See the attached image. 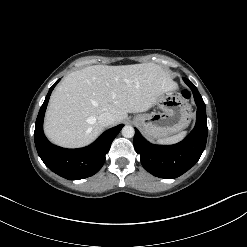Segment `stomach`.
I'll return each instance as SVG.
<instances>
[{"label": "stomach", "instance_id": "1", "mask_svg": "<svg viewBox=\"0 0 247 247\" xmlns=\"http://www.w3.org/2000/svg\"><path fill=\"white\" fill-rule=\"evenodd\" d=\"M158 111L139 114L134 122L149 138L164 139L185 129L192 118L191 106L178 94L161 93L155 102Z\"/></svg>", "mask_w": 247, "mask_h": 247}]
</instances>
